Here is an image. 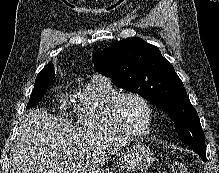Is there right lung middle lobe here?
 <instances>
[{
  "instance_id": "1",
  "label": "right lung middle lobe",
  "mask_w": 219,
  "mask_h": 173,
  "mask_svg": "<svg viewBox=\"0 0 219 173\" xmlns=\"http://www.w3.org/2000/svg\"><path fill=\"white\" fill-rule=\"evenodd\" d=\"M55 73H39L37 75L34 89L31 93V98L27 104V109L38 104L40 99L44 96L46 90L55 83Z\"/></svg>"
}]
</instances>
